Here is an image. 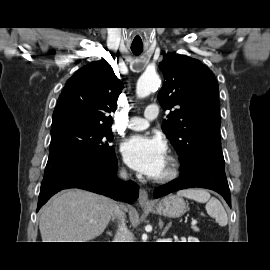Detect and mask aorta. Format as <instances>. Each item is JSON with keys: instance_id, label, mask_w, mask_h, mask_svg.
I'll return each mask as SVG.
<instances>
[{"instance_id": "1", "label": "aorta", "mask_w": 270, "mask_h": 270, "mask_svg": "<svg viewBox=\"0 0 270 270\" xmlns=\"http://www.w3.org/2000/svg\"><path fill=\"white\" fill-rule=\"evenodd\" d=\"M160 78L156 73H144L138 79L136 93L139 98L148 96L160 86Z\"/></svg>"}]
</instances>
